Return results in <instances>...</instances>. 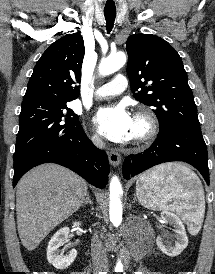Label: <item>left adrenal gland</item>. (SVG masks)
Masks as SVG:
<instances>
[{
  "mask_svg": "<svg viewBox=\"0 0 215 274\" xmlns=\"http://www.w3.org/2000/svg\"><path fill=\"white\" fill-rule=\"evenodd\" d=\"M135 200H137V199H136V196L134 197V201H135Z\"/></svg>",
  "mask_w": 215,
  "mask_h": 274,
  "instance_id": "obj_1",
  "label": "left adrenal gland"
}]
</instances>
